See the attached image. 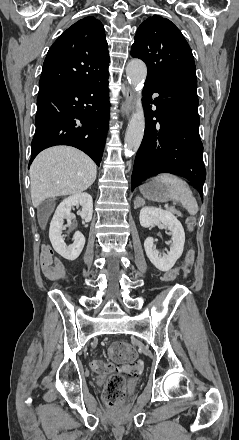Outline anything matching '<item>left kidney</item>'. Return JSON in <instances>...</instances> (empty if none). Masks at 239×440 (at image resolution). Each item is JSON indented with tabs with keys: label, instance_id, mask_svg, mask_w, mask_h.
<instances>
[{
	"label": "left kidney",
	"instance_id": "1",
	"mask_svg": "<svg viewBox=\"0 0 239 440\" xmlns=\"http://www.w3.org/2000/svg\"><path fill=\"white\" fill-rule=\"evenodd\" d=\"M139 220L143 228H150V226L162 224V226H166V228L170 230L172 236L170 252L163 254V256L156 250L154 238H146L144 242L146 256L150 262H152L153 266H155L157 270H160V272H169L178 258L182 256L184 250L185 232L182 224H180L179 220H177L176 216H173L171 212L161 210V208H149V206H145V208L140 210Z\"/></svg>",
	"mask_w": 239,
	"mask_h": 440
}]
</instances>
